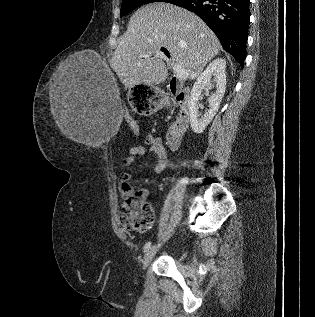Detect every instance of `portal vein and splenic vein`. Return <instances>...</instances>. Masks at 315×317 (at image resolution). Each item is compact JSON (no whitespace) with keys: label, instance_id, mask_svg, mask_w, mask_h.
Segmentation results:
<instances>
[{"label":"portal vein and splenic vein","instance_id":"1","mask_svg":"<svg viewBox=\"0 0 315 317\" xmlns=\"http://www.w3.org/2000/svg\"><path fill=\"white\" fill-rule=\"evenodd\" d=\"M169 62V64L171 65V67L173 68V71L177 74L178 79L184 80L188 77L189 75V71L185 70L184 68L180 67L179 65H177L174 61L172 60H167Z\"/></svg>","mask_w":315,"mask_h":317}]
</instances>
